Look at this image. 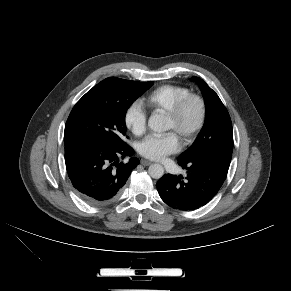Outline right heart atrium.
<instances>
[{
  "label": "right heart atrium",
  "instance_id": "1",
  "mask_svg": "<svg viewBox=\"0 0 291 291\" xmlns=\"http://www.w3.org/2000/svg\"><path fill=\"white\" fill-rule=\"evenodd\" d=\"M124 123L134 135H142L147 127V113L139 102L131 103L124 114Z\"/></svg>",
  "mask_w": 291,
  "mask_h": 291
}]
</instances>
